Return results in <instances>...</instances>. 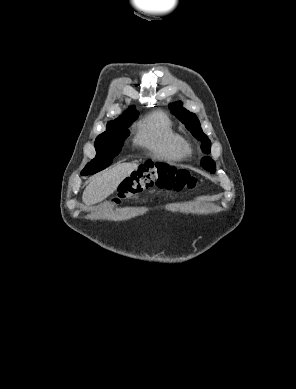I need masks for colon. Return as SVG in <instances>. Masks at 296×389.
<instances>
[{
	"instance_id": "1",
	"label": "colon",
	"mask_w": 296,
	"mask_h": 389,
	"mask_svg": "<svg viewBox=\"0 0 296 389\" xmlns=\"http://www.w3.org/2000/svg\"><path fill=\"white\" fill-rule=\"evenodd\" d=\"M198 180L188 171L164 163L148 161L139 165L120 185L116 203L136 199L151 187L181 191L195 188Z\"/></svg>"
}]
</instances>
